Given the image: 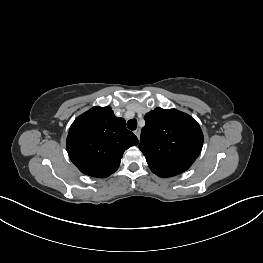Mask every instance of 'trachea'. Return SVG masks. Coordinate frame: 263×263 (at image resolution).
<instances>
[{
  "label": "trachea",
  "mask_w": 263,
  "mask_h": 263,
  "mask_svg": "<svg viewBox=\"0 0 263 263\" xmlns=\"http://www.w3.org/2000/svg\"><path fill=\"white\" fill-rule=\"evenodd\" d=\"M127 127L130 130H135L137 128V120L136 119H131L127 122Z\"/></svg>",
  "instance_id": "1"
}]
</instances>
